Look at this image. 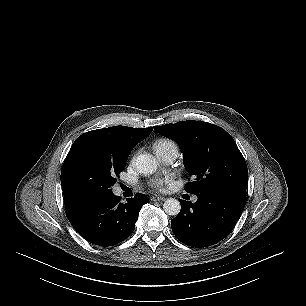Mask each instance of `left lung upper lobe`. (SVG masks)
Here are the masks:
<instances>
[{
    "label": "left lung upper lobe",
    "instance_id": "5c2ea615",
    "mask_svg": "<svg viewBox=\"0 0 306 306\" xmlns=\"http://www.w3.org/2000/svg\"><path fill=\"white\" fill-rule=\"evenodd\" d=\"M175 140L184 153L187 171L195 180L185 191L195 195L230 192L246 196L248 170L234 139L221 127L188 120L154 127Z\"/></svg>",
    "mask_w": 306,
    "mask_h": 306
}]
</instances>
